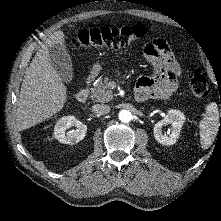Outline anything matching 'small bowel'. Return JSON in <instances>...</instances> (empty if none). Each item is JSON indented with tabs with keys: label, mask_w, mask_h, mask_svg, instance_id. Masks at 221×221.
<instances>
[{
	"label": "small bowel",
	"mask_w": 221,
	"mask_h": 221,
	"mask_svg": "<svg viewBox=\"0 0 221 221\" xmlns=\"http://www.w3.org/2000/svg\"><path fill=\"white\" fill-rule=\"evenodd\" d=\"M146 59L153 65L155 73L137 81L136 94L144 98L166 99L178 88L181 70L168 43L161 38L153 40L144 47Z\"/></svg>",
	"instance_id": "small-bowel-1"
}]
</instances>
